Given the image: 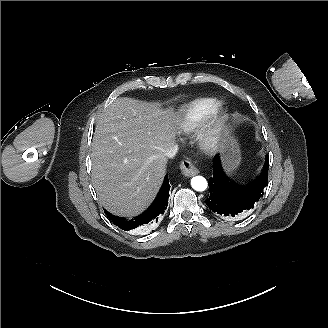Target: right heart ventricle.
Masks as SVG:
<instances>
[{
  "mask_svg": "<svg viewBox=\"0 0 328 328\" xmlns=\"http://www.w3.org/2000/svg\"><path fill=\"white\" fill-rule=\"evenodd\" d=\"M217 101L213 97H200L186 101L178 111L180 117V138L192 136L197 128L202 113Z\"/></svg>",
  "mask_w": 328,
  "mask_h": 328,
  "instance_id": "right-heart-ventricle-1",
  "label": "right heart ventricle"
}]
</instances>
